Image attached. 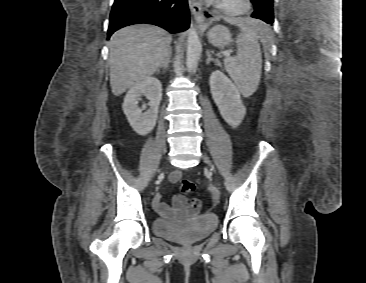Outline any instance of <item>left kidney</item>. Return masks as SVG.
<instances>
[{
    "instance_id": "5707ae66",
    "label": "left kidney",
    "mask_w": 366,
    "mask_h": 283,
    "mask_svg": "<svg viewBox=\"0 0 366 283\" xmlns=\"http://www.w3.org/2000/svg\"><path fill=\"white\" fill-rule=\"evenodd\" d=\"M209 84L221 116L231 127L236 128L246 114L238 88L219 70L211 74Z\"/></svg>"
}]
</instances>
